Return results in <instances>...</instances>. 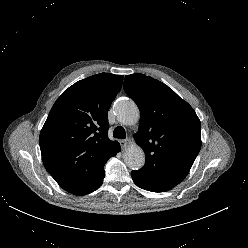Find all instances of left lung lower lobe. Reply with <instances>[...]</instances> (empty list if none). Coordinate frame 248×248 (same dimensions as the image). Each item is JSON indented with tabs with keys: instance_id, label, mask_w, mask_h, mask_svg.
I'll return each instance as SVG.
<instances>
[{
	"instance_id": "left-lung-lower-lobe-1",
	"label": "left lung lower lobe",
	"mask_w": 248,
	"mask_h": 248,
	"mask_svg": "<svg viewBox=\"0 0 248 248\" xmlns=\"http://www.w3.org/2000/svg\"><path fill=\"white\" fill-rule=\"evenodd\" d=\"M131 176H132V179L137 186H139L142 189H145L144 185L142 184V182L140 180V176H139L137 171H132ZM145 190H147V189H145Z\"/></svg>"
}]
</instances>
